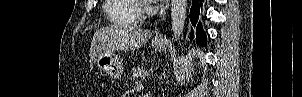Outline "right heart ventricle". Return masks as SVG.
<instances>
[{"mask_svg": "<svg viewBox=\"0 0 302 97\" xmlns=\"http://www.w3.org/2000/svg\"><path fill=\"white\" fill-rule=\"evenodd\" d=\"M104 12L108 21L115 26L134 27L140 21L136 0H106Z\"/></svg>", "mask_w": 302, "mask_h": 97, "instance_id": "1", "label": "right heart ventricle"}]
</instances>
